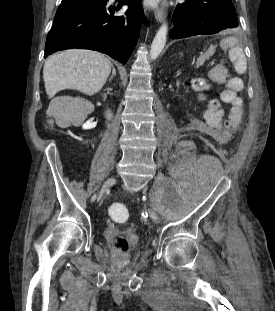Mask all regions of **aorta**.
<instances>
[{
  "mask_svg": "<svg viewBox=\"0 0 275 311\" xmlns=\"http://www.w3.org/2000/svg\"><path fill=\"white\" fill-rule=\"evenodd\" d=\"M167 32H168V26L166 23H164L159 30L157 31L154 40L151 44L150 49V59L155 60L159 57L160 53L162 52L167 39Z\"/></svg>",
  "mask_w": 275,
  "mask_h": 311,
  "instance_id": "1",
  "label": "aorta"
}]
</instances>
